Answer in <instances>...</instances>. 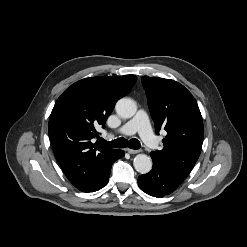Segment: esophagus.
<instances>
[{
	"instance_id": "34e87169",
	"label": "esophagus",
	"mask_w": 247,
	"mask_h": 247,
	"mask_svg": "<svg viewBox=\"0 0 247 247\" xmlns=\"http://www.w3.org/2000/svg\"><path fill=\"white\" fill-rule=\"evenodd\" d=\"M126 151H127L128 153H130V154H137V153L140 152L139 150H134V149H130V148L126 149Z\"/></svg>"
}]
</instances>
